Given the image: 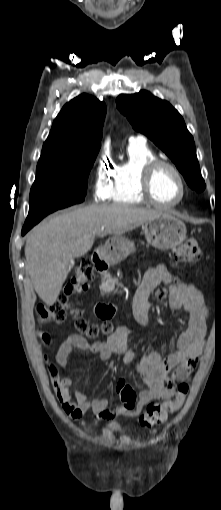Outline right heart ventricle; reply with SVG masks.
Here are the masks:
<instances>
[{
	"instance_id": "right-heart-ventricle-1",
	"label": "right heart ventricle",
	"mask_w": 221,
	"mask_h": 510,
	"mask_svg": "<svg viewBox=\"0 0 221 510\" xmlns=\"http://www.w3.org/2000/svg\"><path fill=\"white\" fill-rule=\"evenodd\" d=\"M127 153L128 159L113 168L110 199L116 203H144L139 187L140 168L156 155L146 143L139 142H130Z\"/></svg>"
}]
</instances>
